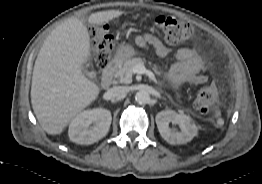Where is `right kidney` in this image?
<instances>
[{
    "instance_id": "1",
    "label": "right kidney",
    "mask_w": 262,
    "mask_h": 184,
    "mask_svg": "<svg viewBox=\"0 0 262 184\" xmlns=\"http://www.w3.org/2000/svg\"><path fill=\"white\" fill-rule=\"evenodd\" d=\"M111 120L110 111L103 108L82 111L69 125V138L82 145L97 142L107 134Z\"/></svg>"
}]
</instances>
